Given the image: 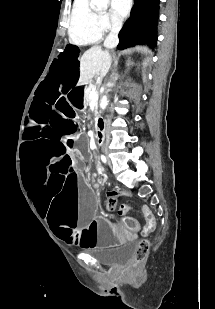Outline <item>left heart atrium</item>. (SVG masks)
<instances>
[{
  "instance_id": "obj_1",
  "label": "left heart atrium",
  "mask_w": 215,
  "mask_h": 309,
  "mask_svg": "<svg viewBox=\"0 0 215 309\" xmlns=\"http://www.w3.org/2000/svg\"><path fill=\"white\" fill-rule=\"evenodd\" d=\"M113 8L112 12L115 15H121V12H130L131 7L127 0H111Z\"/></svg>"
}]
</instances>
